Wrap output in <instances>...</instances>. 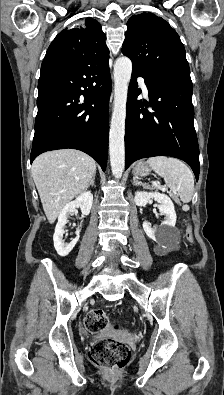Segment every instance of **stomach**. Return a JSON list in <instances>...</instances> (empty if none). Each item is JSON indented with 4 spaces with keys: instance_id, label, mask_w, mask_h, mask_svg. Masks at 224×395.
<instances>
[{
    "instance_id": "0dacf381",
    "label": "stomach",
    "mask_w": 224,
    "mask_h": 395,
    "mask_svg": "<svg viewBox=\"0 0 224 395\" xmlns=\"http://www.w3.org/2000/svg\"><path fill=\"white\" fill-rule=\"evenodd\" d=\"M150 171L151 169L149 166H147L143 161H139L133 169V174L136 177H144L147 176Z\"/></svg>"
}]
</instances>
